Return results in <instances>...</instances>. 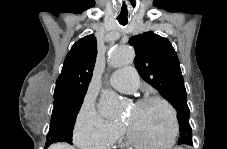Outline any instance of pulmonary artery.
<instances>
[{
	"instance_id": "1",
	"label": "pulmonary artery",
	"mask_w": 227,
	"mask_h": 149,
	"mask_svg": "<svg viewBox=\"0 0 227 149\" xmlns=\"http://www.w3.org/2000/svg\"><path fill=\"white\" fill-rule=\"evenodd\" d=\"M110 84L120 92L133 93L139 86V76L134 67H123L111 74Z\"/></svg>"
}]
</instances>
